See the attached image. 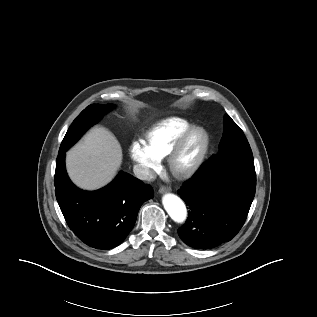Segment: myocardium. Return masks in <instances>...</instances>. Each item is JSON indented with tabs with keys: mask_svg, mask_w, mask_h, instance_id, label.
Here are the masks:
<instances>
[{
	"mask_svg": "<svg viewBox=\"0 0 317 317\" xmlns=\"http://www.w3.org/2000/svg\"><path fill=\"white\" fill-rule=\"evenodd\" d=\"M194 137L198 138L199 140L197 153L189 163L181 164V155L188 142ZM208 147L209 135L207 131L201 126H191L178 138L171 148L167 157L169 170L175 177L179 179L189 178L199 169L203 163L208 151Z\"/></svg>",
	"mask_w": 317,
	"mask_h": 317,
	"instance_id": "f54148a6",
	"label": "myocardium"
}]
</instances>
